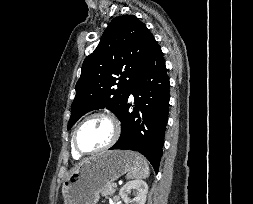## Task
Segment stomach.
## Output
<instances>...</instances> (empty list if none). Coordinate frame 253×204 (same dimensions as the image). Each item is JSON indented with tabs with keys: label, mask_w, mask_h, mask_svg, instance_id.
<instances>
[{
	"label": "stomach",
	"mask_w": 253,
	"mask_h": 204,
	"mask_svg": "<svg viewBox=\"0 0 253 204\" xmlns=\"http://www.w3.org/2000/svg\"><path fill=\"white\" fill-rule=\"evenodd\" d=\"M136 154L105 151L82 161L62 185L64 204H97L101 191L135 167Z\"/></svg>",
	"instance_id": "stomach-1"
}]
</instances>
